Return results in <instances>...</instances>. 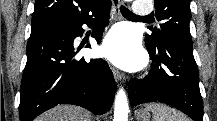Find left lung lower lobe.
<instances>
[{
	"mask_svg": "<svg viewBox=\"0 0 217 121\" xmlns=\"http://www.w3.org/2000/svg\"><path fill=\"white\" fill-rule=\"evenodd\" d=\"M146 48L153 67L144 79L129 81L131 107L159 101L174 106L195 121H203L193 48L173 39L156 47L146 44Z\"/></svg>",
	"mask_w": 217,
	"mask_h": 121,
	"instance_id": "obj_1",
	"label": "left lung lower lobe"
}]
</instances>
